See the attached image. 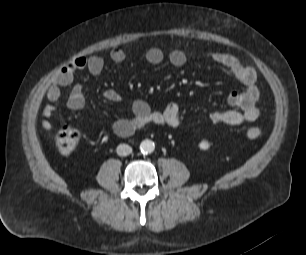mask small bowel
Masks as SVG:
<instances>
[{"mask_svg":"<svg viewBox=\"0 0 306 255\" xmlns=\"http://www.w3.org/2000/svg\"><path fill=\"white\" fill-rule=\"evenodd\" d=\"M110 59L115 63L125 60L126 54L121 48H113L110 51ZM146 60L152 65H158L165 59L164 52L158 47H151L146 51ZM210 59L220 65L229 75L240 82L243 91H232L228 95V103L234 109L214 111L208 115V123L217 125H240L244 122H253L260 115L257 103L260 91L256 84V72L253 68L244 65L237 57L225 52H213ZM167 59L171 65L180 68L187 62V55L181 49H172ZM105 60L102 56L77 57L69 64L62 67L54 76L52 84L47 89L46 96L49 100L43 109L44 119L42 127L45 130L52 129L51 117L55 112V103L59 101L63 88H70L67 106L72 110H80L85 105V97L82 86L75 82V74L87 70L92 76L102 73ZM104 97L111 102H120L122 95L115 89H108ZM132 116L117 120L113 129L119 136H128L149 123H154L168 128H177L182 123L181 109L177 103L168 104L162 111H154L143 100H135L131 105Z\"/></svg>","mask_w":306,"mask_h":255,"instance_id":"small-bowel-1","label":"small bowel"}]
</instances>
